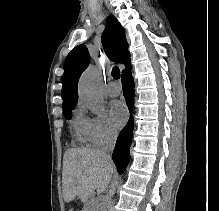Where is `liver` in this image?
Returning <instances> with one entry per match:
<instances>
[{"label": "liver", "instance_id": "obj_1", "mask_svg": "<svg viewBox=\"0 0 219 211\" xmlns=\"http://www.w3.org/2000/svg\"><path fill=\"white\" fill-rule=\"evenodd\" d=\"M113 173L111 159L104 157L101 151L70 147L65 151L63 161L62 185L65 201H72L78 195L86 203L95 189L103 191L108 187Z\"/></svg>", "mask_w": 219, "mask_h": 211}]
</instances>
